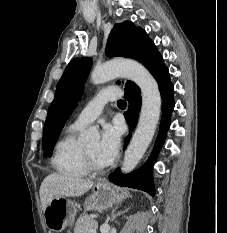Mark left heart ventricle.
<instances>
[{"mask_svg":"<svg viewBox=\"0 0 227 233\" xmlns=\"http://www.w3.org/2000/svg\"><path fill=\"white\" fill-rule=\"evenodd\" d=\"M98 147H99V143H93L90 145H87L85 148L88 151V153L90 154V156L93 158V160L95 161V163H97L98 165H105L98 157Z\"/></svg>","mask_w":227,"mask_h":233,"instance_id":"1","label":"left heart ventricle"}]
</instances>
